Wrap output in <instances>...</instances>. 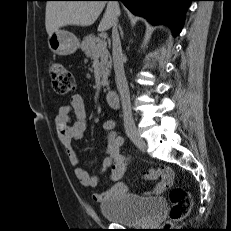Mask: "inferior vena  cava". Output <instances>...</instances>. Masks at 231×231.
<instances>
[{"label": "inferior vena cava", "mask_w": 231, "mask_h": 231, "mask_svg": "<svg viewBox=\"0 0 231 231\" xmlns=\"http://www.w3.org/2000/svg\"><path fill=\"white\" fill-rule=\"evenodd\" d=\"M114 4L118 6L115 1ZM112 41H113V63L115 71V79L118 87V91L121 96L122 112L124 126H134V120L131 111L130 93L128 83L124 73L123 60H122V47L120 37L117 29V22H114L112 26Z\"/></svg>", "instance_id": "602c4592"}]
</instances>
